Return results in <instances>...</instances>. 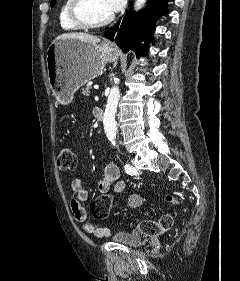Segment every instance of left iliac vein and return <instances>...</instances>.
<instances>
[{
	"instance_id": "obj_1",
	"label": "left iliac vein",
	"mask_w": 240,
	"mask_h": 281,
	"mask_svg": "<svg viewBox=\"0 0 240 281\" xmlns=\"http://www.w3.org/2000/svg\"><path fill=\"white\" fill-rule=\"evenodd\" d=\"M132 163H133V160H132ZM136 173L138 174V173H139V170L136 169Z\"/></svg>"
}]
</instances>
